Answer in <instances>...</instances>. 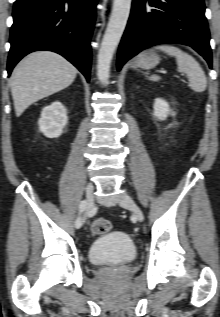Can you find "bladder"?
<instances>
[{
  "label": "bladder",
  "instance_id": "obj_1",
  "mask_svg": "<svg viewBox=\"0 0 220 317\" xmlns=\"http://www.w3.org/2000/svg\"><path fill=\"white\" fill-rule=\"evenodd\" d=\"M136 256L134 242L121 231H111L98 236L88 250L90 262L97 265H120L133 261Z\"/></svg>",
  "mask_w": 220,
  "mask_h": 317
}]
</instances>
